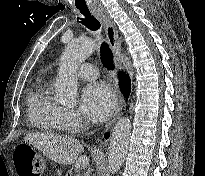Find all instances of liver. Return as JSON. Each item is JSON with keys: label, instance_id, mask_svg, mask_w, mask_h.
Wrapping results in <instances>:
<instances>
[{"label": "liver", "instance_id": "6515ba94", "mask_svg": "<svg viewBox=\"0 0 205 176\" xmlns=\"http://www.w3.org/2000/svg\"><path fill=\"white\" fill-rule=\"evenodd\" d=\"M24 140L56 163L74 164L76 169H86L89 166V157L81 155L83 145L71 137H62L52 133H34L25 136Z\"/></svg>", "mask_w": 205, "mask_h": 176}]
</instances>
